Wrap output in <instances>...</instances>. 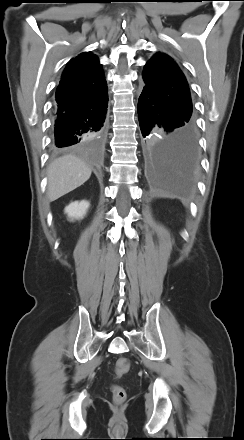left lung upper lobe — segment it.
Wrapping results in <instances>:
<instances>
[{
	"label": "left lung upper lobe",
	"instance_id": "1",
	"mask_svg": "<svg viewBox=\"0 0 244 440\" xmlns=\"http://www.w3.org/2000/svg\"><path fill=\"white\" fill-rule=\"evenodd\" d=\"M143 80L145 87L178 110L192 115V102L186 78L171 57L160 52L155 54L144 67Z\"/></svg>",
	"mask_w": 244,
	"mask_h": 440
}]
</instances>
